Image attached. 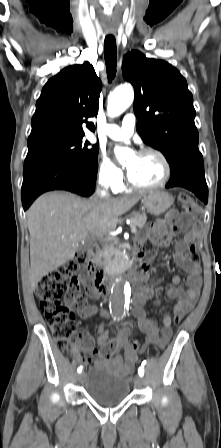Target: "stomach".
Returning a JSON list of instances; mask_svg holds the SVG:
<instances>
[{"mask_svg": "<svg viewBox=\"0 0 221 448\" xmlns=\"http://www.w3.org/2000/svg\"><path fill=\"white\" fill-rule=\"evenodd\" d=\"M173 202V197L165 191H150L142 197L144 208L153 215L164 213L171 207Z\"/></svg>", "mask_w": 221, "mask_h": 448, "instance_id": "0dacf381", "label": "stomach"}]
</instances>
